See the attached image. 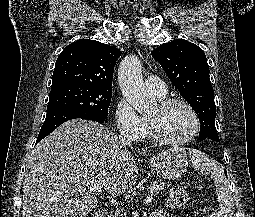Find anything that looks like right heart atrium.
I'll use <instances>...</instances> for the list:
<instances>
[{
  "mask_svg": "<svg viewBox=\"0 0 255 217\" xmlns=\"http://www.w3.org/2000/svg\"><path fill=\"white\" fill-rule=\"evenodd\" d=\"M114 114L117 130L129 140H138L146 135L145 119L137 114L126 99L120 98L116 102Z\"/></svg>",
  "mask_w": 255,
  "mask_h": 217,
  "instance_id": "1",
  "label": "right heart atrium"
}]
</instances>
